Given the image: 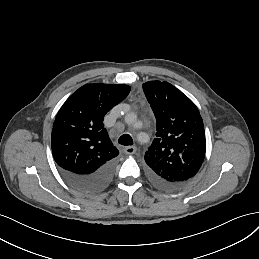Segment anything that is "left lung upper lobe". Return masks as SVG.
Instances as JSON below:
<instances>
[{"instance_id": "left-lung-upper-lobe-1", "label": "left lung upper lobe", "mask_w": 259, "mask_h": 259, "mask_svg": "<svg viewBox=\"0 0 259 259\" xmlns=\"http://www.w3.org/2000/svg\"><path fill=\"white\" fill-rule=\"evenodd\" d=\"M143 90L154 112L157 131L145 154L148 173L160 181L187 183L205 157L200 113L185 94L168 82H146Z\"/></svg>"}]
</instances>
